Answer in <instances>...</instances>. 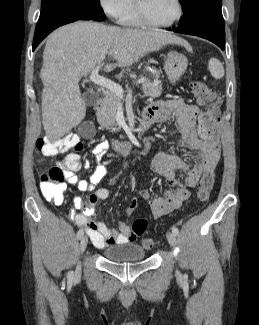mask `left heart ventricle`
Here are the masks:
<instances>
[{
	"label": "left heart ventricle",
	"mask_w": 259,
	"mask_h": 325,
	"mask_svg": "<svg viewBox=\"0 0 259 325\" xmlns=\"http://www.w3.org/2000/svg\"><path fill=\"white\" fill-rule=\"evenodd\" d=\"M147 17L155 22L165 23L176 14L174 0H140Z\"/></svg>",
	"instance_id": "b2bd125f"
}]
</instances>
